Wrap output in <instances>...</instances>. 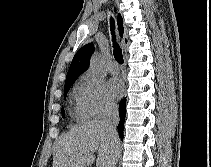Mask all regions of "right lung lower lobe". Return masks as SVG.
Returning <instances> with one entry per match:
<instances>
[{
	"label": "right lung lower lobe",
	"mask_w": 211,
	"mask_h": 167,
	"mask_svg": "<svg viewBox=\"0 0 211 167\" xmlns=\"http://www.w3.org/2000/svg\"><path fill=\"white\" fill-rule=\"evenodd\" d=\"M126 115V98L122 99L119 103V116L120 122L118 125L119 136L123 139L124 121Z\"/></svg>",
	"instance_id": "obj_1"
}]
</instances>
